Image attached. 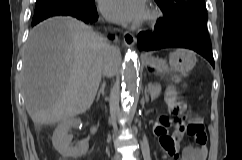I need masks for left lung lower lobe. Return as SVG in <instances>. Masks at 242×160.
Instances as JSON below:
<instances>
[{"instance_id": "0a47b994", "label": "left lung lower lobe", "mask_w": 242, "mask_h": 160, "mask_svg": "<svg viewBox=\"0 0 242 160\" xmlns=\"http://www.w3.org/2000/svg\"><path fill=\"white\" fill-rule=\"evenodd\" d=\"M138 42L140 47L147 51L168 47L188 48L201 54L215 66L207 22L175 25L160 18L153 32L144 31L138 34Z\"/></svg>"}]
</instances>
